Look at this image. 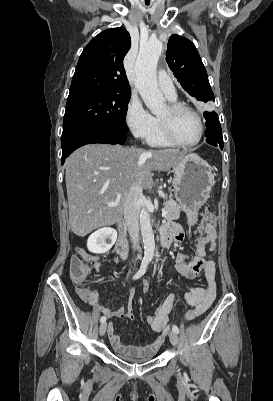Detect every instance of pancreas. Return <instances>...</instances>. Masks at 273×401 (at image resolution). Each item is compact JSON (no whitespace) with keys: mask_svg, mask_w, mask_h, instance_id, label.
<instances>
[{"mask_svg":"<svg viewBox=\"0 0 273 401\" xmlns=\"http://www.w3.org/2000/svg\"><path fill=\"white\" fill-rule=\"evenodd\" d=\"M163 205L166 206V221H175V219H179L180 217V207L177 205L176 201H173V198H170V201H165Z\"/></svg>","mask_w":273,"mask_h":401,"instance_id":"1","label":"pancreas"}]
</instances>
